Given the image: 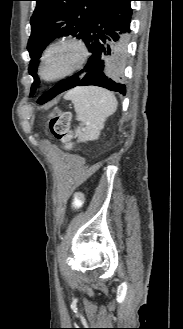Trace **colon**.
Masks as SVG:
<instances>
[{
  "mask_svg": "<svg viewBox=\"0 0 183 329\" xmlns=\"http://www.w3.org/2000/svg\"><path fill=\"white\" fill-rule=\"evenodd\" d=\"M72 115L69 111L55 109L50 113L49 117V128L52 135L62 141L66 142L71 137L70 123ZM81 198L77 196L75 203H80ZM66 211L69 217H80L81 211L77 210L76 206H67Z\"/></svg>",
  "mask_w": 183,
  "mask_h": 329,
  "instance_id": "obj_1",
  "label": "colon"
}]
</instances>
